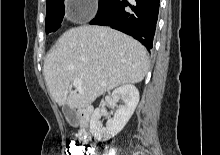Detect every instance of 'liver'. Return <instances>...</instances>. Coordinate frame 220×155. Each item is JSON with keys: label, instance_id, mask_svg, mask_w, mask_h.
<instances>
[{"label": "liver", "instance_id": "6515ba94", "mask_svg": "<svg viewBox=\"0 0 220 155\" xmlns=\"http://www.w3.org/2000/svg\"><path fill=\"white\" fill-rule=\"evenodd\" d=\"M148 68L146 48L132 37L104 26H80L58 39L43 75L52 99L77 109L118 86L141 82ZM75 78L82 80V92L70 90Z\"/></svg>", "mask_w": 220, "mask_h": 155}]
</instances>
